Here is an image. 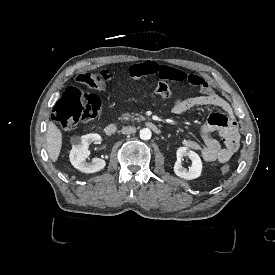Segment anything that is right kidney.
I'll return each instance as SVG.
<instances>
[{
    "mask_svg": "<svg viewBox=\"0 0 275 275\" xmlns=\"http://www.w3.org/2000/svg\"><path fill=\"white\" fill-rule=\"evenodd\" d=\"M95 141H101V136L97 133L71 138L72 149L69 154V159L71 164L81 172L94 173L102 170L106 165L105 160L100 158H94L92 163L86 162V158L90 155L88 147Z\"/></svg>",
    "mask_w": 275,
    "mask_h": 275,
    "instance_id": "obj_1",
    "label": "right kidney"
}]
</instances>
